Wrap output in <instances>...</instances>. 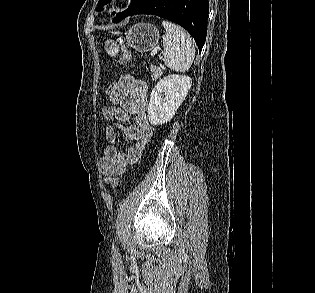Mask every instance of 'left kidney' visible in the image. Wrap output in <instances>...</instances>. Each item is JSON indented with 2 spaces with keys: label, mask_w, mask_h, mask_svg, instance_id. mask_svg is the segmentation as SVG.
<instances>
[{
  "label": "left kidney",
  "mask_w": 315,
  "mask_h": 293,
  "mask_svg": "<svg viewBox=\"0 0 315 293\" xmlns=\"http://www.w3.org/2000/svg\"><path fill=\"white\" fill-rule=\"evenodd\" d=\"M192 80L185 75H168L161 79L150 95L148 118L152 125L169 122L184 101Z\"/></svg>",
  "instance_id": "left-kidney-1"
}]
</instances>
